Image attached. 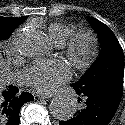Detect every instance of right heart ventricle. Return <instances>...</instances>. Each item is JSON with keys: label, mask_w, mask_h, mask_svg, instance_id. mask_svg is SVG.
I'll list each match as a JSON object with an SVG mask.
<instances>
[{"label": "right heart ventricle", "mask_w": 125, "mask_h": 125, "mask_svg": "<svg viewBox=\"0 0 125 125\" xmlns=\"http://www.w3.org/2000/svg\"><path fill=\"white\" fill-rule=\"evenodd\" d=\"M75 26L62 22H54L48 26V36L52 42L62 45L75 32Z\"/></svg>", "instance_id": "obj_1"}]
</instances>
